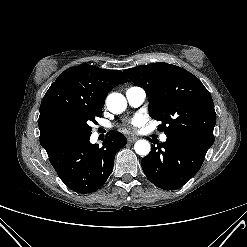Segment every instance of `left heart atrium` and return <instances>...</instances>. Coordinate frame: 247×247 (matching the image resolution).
Instances as JSON below:
<instances>
[{
    "label": "left heart atrium",
    "mask_w": 247,
    "mask_h": 247,
    "mask_svg": "<svg viewBox=\"0 0 247 247\" xmlns=\"http://www.w3.org/2000/svg\"><path fill=\"white\" fill-rule=\"evenodd\" d=\"M140 118H135V119H133L132 121H131V124L132 125H138L139 123H140Z\"/></svg>",
    "instance_id": "1"
}]
</instances>
